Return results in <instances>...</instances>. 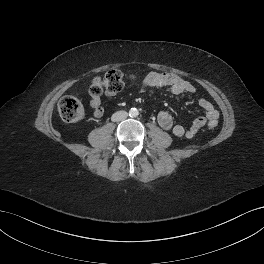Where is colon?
Returning a JSON list of instances; mask_svg holds the SVG:
<instances>
[{
    "label": "colon",
    "mask_w": 264,
    "mask_h": 264,
    "mask_svg": "<svg viewBox=\"0 0 264 264\" xmlns=\"http://www.w3.org/2000/svg\"><path fill=\"white\" fill-rule=\"evenodd\" d=\"M125 81L123 74L118 70H111L103 78H95L89 88L92 96H99L103 91L114 94L121 91ZM58 111L63 121L67 123H77L85 116L82 103L75 97H63L58 104ZM217 120L208 121L209 128H215Z\"/></svg>",
    "instance_id": "5ec220e1"
}]
</instances>
